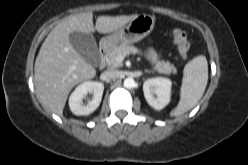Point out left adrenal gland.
Returning <instances> with one entry per match:
<instances>
[{
    "mask_svg": "<svg viewBox=\"0 0 248 165\" xmlns=\"http://www.w3.org/2000/svg\"><path fill=\"white\" fill-rule=\"evenodd\" d=\"M145 72H149V70H145Z\"/></svg>",
    "mask_w": 248,
    "mask_h": 165,
    "instance_id": "left-adrenal-gland-1",
    "label": "left adrenal gland"
}]
</instances>
